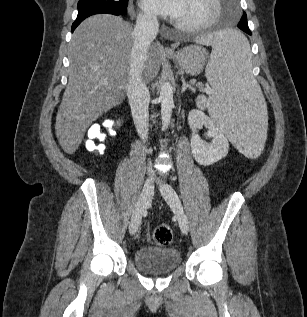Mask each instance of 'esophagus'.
Segmentation results:
<instances>
[{"instance_id": "1", "label": "esophagus", "mask_w": 307, "mask_h": 317, "mask_svg": "<svg viewBox=\"0 0 307 317\" xmlns=\"http://www.w3.org/2000/svg\"><path fill=\"white\" fill-rule=\"evenodd\" d=\"M163 51H164L165 53H172V52H173V50H172L170 47H165V48L163 49Z\"/></svg>"}]
</instances>
